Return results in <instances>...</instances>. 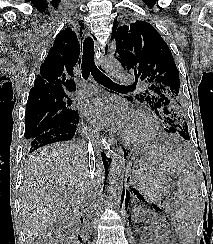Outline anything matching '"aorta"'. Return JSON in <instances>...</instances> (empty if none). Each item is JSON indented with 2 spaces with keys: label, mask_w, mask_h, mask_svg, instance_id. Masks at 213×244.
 <instances>
[{
  "label": "aorta",
  "mask_w": 213,
  "mask_h": 244,
  "mask_svg": "<svg viewBox=\"0 0 213 244\" xmlns=\"http://www.w3.org/2000/svg\"><path fill=\"white\" fill-rule=\"evenodd\" d=\"M104 68L112 76H120L122 74V65L115 58H107L104 62ZM125 175V157L121 147L113 154L110 174H109V194L111 201L115 207H119L124 187Z\"/></svg>",
  "instance_id": "obj_1"
}]
</instances>
